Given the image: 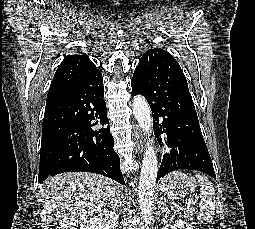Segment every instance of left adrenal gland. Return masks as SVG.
Instances as JSON below:
<instances>
[{"instance_id":"a2214340","label":"left adrenal gland","mask_w":255,"mask_h":229,"mask_svg":"<svg viewBox=\"0 0 255 229\" xmlns=\"http://www.w3.org/2000/svg\"><path fill=\"white\" fill-rule=\"evenodd\" d=\"M158 207L161 209V211L168 212V208H167L166 203L164 202L163 198H161Z\"/></svg>"}]
</instances>
